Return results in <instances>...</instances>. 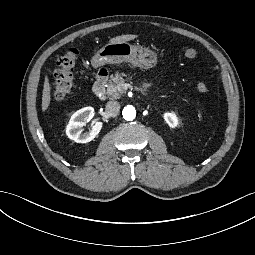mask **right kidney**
I'll return each instance as SVG.
<instances>
[{"label":"right kidney","mask_w":255,"mask_h":255,"mask_svg":"<svg viewBox=\"0 0 255 255\" xmlns=\"http://www.w3.org/2000/svg\"><path fill=\"white\" fill-rule=\"evenodd\" d=\"M94 114L92 107H85L74 113L66 128L67 136L74 142L81 144L92 141L100 132L103 122L96 121L88 133H83L81 127L85 126Z\"/></svg>","instance_id":"1"}]
</instances>
